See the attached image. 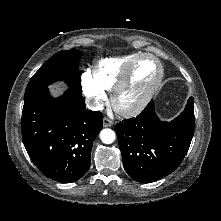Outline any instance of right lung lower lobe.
Instances as JSON below:
<instances>
[{"label":"right lung lower lobe","mask_w":221,"mask_h":221,"mask_svg":"<svg viewBox=\"0 0 221 221\" xmlns=\"http://www.w3.org/2000/svg\"><path fill=\"white\" fill-rule=\"evenodd\" d=\"M102 126V113L86 110L81 93L72 89L53 98L45 88L24 99V146L37 168L55 181L72 183L83 177Z\"/></svg>","instance_id":"obj_1"}]
</instances>
